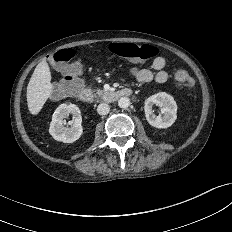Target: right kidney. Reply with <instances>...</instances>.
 <instances>
[{"instance_id": "right-kidney-1", "label": "right kidney", "mask_w": 232, "mask_h": 232, "mask_svg": "<svg viewBox=\"0 0 232 232\" xmlns=\"http://www.w3.org/2000/svg\"><path fill=\"white\" fill-rule=\"evenodd\" d=\"M69 114L73 115V125L70 128L64 126ZM82 116L80 109L74 104H61L55 110L49 127L50 135L57 141L72 143L80 138L83 133L81 125Z\"/></svg>"}]
</instances>
